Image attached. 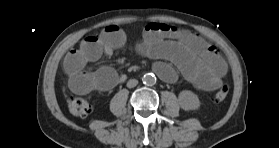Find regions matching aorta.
I'll use <instances>...</instances> for the list:
<instances>
[{
  "label": "aorta",
  "instance_id": "obj_1",
  "mask_svg": "<svg viewBox=\"0 0 279 148\" xmlns=\"http://www.w3.org/2000/svg\"><path fill=\"white\" fill-rule=\"evenodd\" d=\"M142 81L145 85L151 86L154 85L156 82V77L153 73H146L143 77H142Z\"/></svg>",
  "mask_w": 279,
  "mask_h": 148
}]
</instances>
